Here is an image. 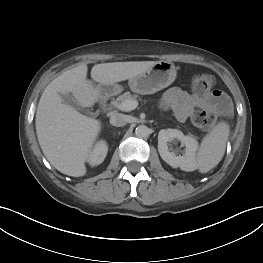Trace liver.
Masks as SVG:
<instances>
[{"label": "liver", "instance_id": "obj_1", "mask_svg": "<svg viewBox=\"0 0 263 263\" xmlns=\"http://www.w3.org/2000/svg\"><path fill=\"white\" fill-rule=\"evenodd\" d=\"M155 61H130L96 64L87 79V65L67 70L52 80L42 93L36 111V134L39 145L52 166L68 176L86 174L85 162L100 130L101 122L87 117L62 102L60 94L72 93L84 107L99 99V84H114L144 72Z\"/></svg>", "mask_w": 263, "mask_h": 263}]
</instances>
